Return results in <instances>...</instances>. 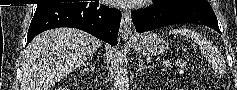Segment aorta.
Returning a JSON list of instances; mask_svg holds the SVG:
<instances>
[{
	"label": "aorta",
	"mask_w": 237,
	"mask_h": 90,
	"mask_svg": "<svg viewBox=\"0 0 237 90\" xmlns=\"http://www.w3.org/2000/svg\"><path fill=\"white\" fill-rule=\"evenodd\" d=\"M114 72V90H129V78L127 72L122 70V64H116Z\"/></svg>",
	"instance_id": "762f6f07"
}]
</instances>
